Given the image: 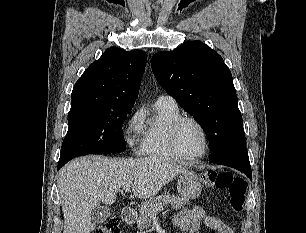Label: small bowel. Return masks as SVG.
<instances>
[{
    "label": "small bowel",
    "instance_id": "1",
    "mask_svg": "<svg viewBox=\"0 0 306 233\" xmlns=\"http://www.w3.org/2000/svg\"><path fill=\"white\" fill-rule=\"evenodd\" d=\"M202 223L218 233H234L230 226L215 216L207 215L201 207L183 209L173 219L174 226L181 233H201Z\"/></svg>",
    "mask_w": 306,
    "mask_h": 233
}]
</instances>
